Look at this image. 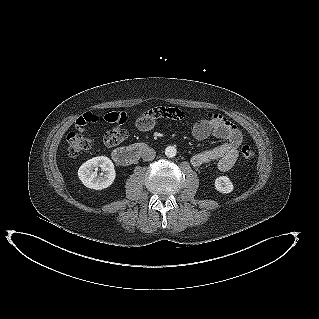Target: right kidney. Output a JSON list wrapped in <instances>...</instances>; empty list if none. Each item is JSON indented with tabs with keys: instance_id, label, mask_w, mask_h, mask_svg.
<instances>
[{
	"instance_id": "ca27d5eb",
	"label": "right kidney",
	"mask_w": 319,
	"mask_h": 319,
	"mask_svg": "<svg viewBox=\"0 0 319 319\" xmlns=\"http://www.w3.org/2000/svg\"><path fill=\"white\" fill-rule=\"evenodd\" d=\"M98 167L103 171L100 175L97 173ZM78 177L87 188L102 190L112 185L116 171L113 162L108 157L98 156L80 166Z\"/></svg>"
}]
</instances>
